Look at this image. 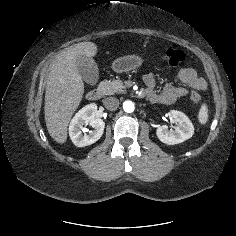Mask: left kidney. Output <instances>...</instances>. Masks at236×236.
<instances>
[{
	"instance_id": "5707ae66",
	"label": "left kidney",
	"mask_w": 236,
	"mask_h": 236,
	"mask_svg": "<svg viewBox=\"0 0 236 236\" xmlns=\"http://www.w3.org/2000/svg\"><path fill=\"white\" fill-rule=\"evenodd\" d=\"M169 116L178 123V126H176L174 130H169L166 125L159 126L156 129V135L161 142L167 145H175L193 136L194 126L183 112L171 110Z\"/></svg>"
}]
</instances>
